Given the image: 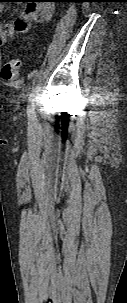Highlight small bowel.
<instances>
[{"label":"small bowel","instance_id":"small-bowel-1","mask_svg":"<svg viewBox=\"0 0 127 303\" xmlns=\"http://www.w3.org/2000/svg\"><path fill=\"white\" fill-rule=\"evenodd\" d=\"M50 1L52 0L30 1L26 5L24 13L18 19L8 23L5 27L0 24V45L16 35L27 33L32 21L46 22L50 20L54 7L52 4L44 3ZM1 10L0 6V12Z\"/></svg>","mask_w":127,"mask_h":303}]
</instances>
